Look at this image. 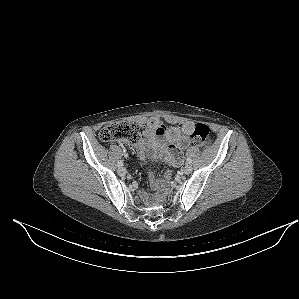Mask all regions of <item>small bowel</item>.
<instances>
[{
    "label": "small bowel",
    "mask_w": 299,
    "mask_h": 299,
    "mask_svg": "<svg viewBox=\"0 0 299 299\" xmlns=\"http://www.w3.org/2000/svg\"><path fill=\"white\" fill-rule=\"evenodd\" d=\"M194 127V122L186 121L179 126L167 128L158 117H151L146 124L145 137L136 144L139 159L142 162L147 157L153 160L160 159L171 167H179L183 162V151L191 144L190 135ZM149 181L154 190L163 184L151 173Z\"/></svg>",
    "instance_id": "1"
}]
</instances>
